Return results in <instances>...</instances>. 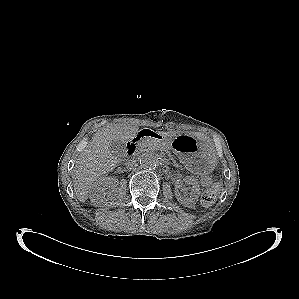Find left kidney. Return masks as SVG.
<instances>
[{
	"instance_id": "left-kidney-1",
	"label": "left kidney",
	"mask_w": 299,
	"mask_h": 299,
	"mask_svg": "<svg viewBox=\"0 0 299 299\" xmlns=\"http://www.w3.org/2000/svg\"><path fill=\"white\" fill-rule=\"evenodd\" d=\"M185 182L189 185H191V193L189 197L183 196L181 193V190H175V196L177 200L186 206H191L195 204V202L198 200L200 195V188L198 181L193 178L192 176H186Z\"/></svg>"
}]
</instances>
